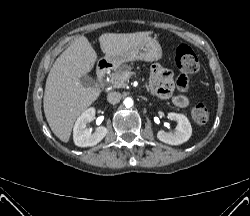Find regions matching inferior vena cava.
Masks as SVG:
<instances>
[{"label": "inferior vena cava", "mask_w": 250, "mask_h": 216, "mask_svg": "<svg viewBox=\"0 0 250 216\" xmlns=\"http://www.w3.org/2000/svg\"><path fill=\"white\" fill-rule=\"evenodd\" d=\"M121 97H122V95H121L120 92H116V91L110 92V93H108V95H107V101H108L109 103H111V104H116V103H119V102H120Z\"/></svg>", "instance_id": "inferior-vena-cava-1"}]
</instances>
